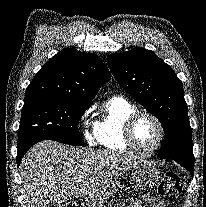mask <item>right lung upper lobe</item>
I'll return each mask as SVG.
<instances>
[{
  "label": "right lung upper lobe",
  "mask_w": 206,
  "mask_h": 207,
  "mask_svg": "<svg viewBox=\"0 0 206 207\" xmlns=\"http://www.w3.org/2000/svg\"><path fill=\"white\" fill-rule=\"evenodd\" d=\"M110 72L93 53L66 48L53 56L26 89L25 101L52 97L91 104Z\"/></svg>",
  "instance_id": "obj_1"
}]
</instances>
